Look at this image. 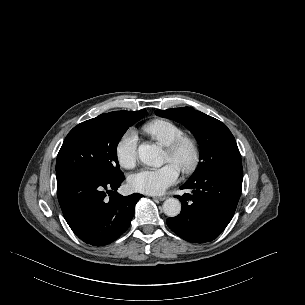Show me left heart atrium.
Here are the masks:
<instances>
[{
    "label": "left heart atrium",
    "instance_id": "1",
    "mask_svg": "<svg viewBox=\"0 0 305 305\" xmlns=\"http://www.w3.org/2000/svg\"><path fill=\"white\" fill-rule=\"evenodd\" d=\"M179 174V168L170 162L161 168H148L133 174L129 184L137 192L158 195L177 183Z\"/></svg>",
    "mask_w": 305,
    "mask_h": 305
}]
</instances>
